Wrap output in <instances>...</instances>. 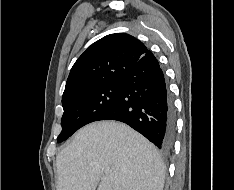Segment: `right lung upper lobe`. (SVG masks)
Instances as JSON below:
<instances>
[{"instance_id": "1", "label": "right lung upper lobe", "mask_w": 234, "mask_h": 190, "mask_svg": "<svg viewBox=\"0 0 234 190\" xmlns=\"http://www.w3.org/2000/svg\"><path fill=\"white\" fill-rule=\"evenodd\" d=\"M147 52V47L129 34L115 33L101 38L73 65L62 101L76 93L120 81Z\"/></svg>"}]
</instances>
